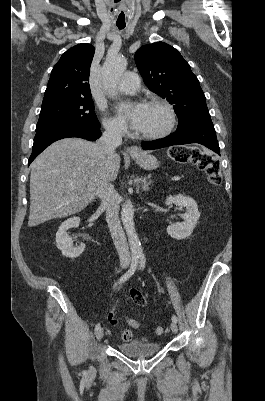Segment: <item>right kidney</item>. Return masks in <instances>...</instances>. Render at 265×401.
Here are the masks:
<instances>
[{"label":"right kidney","instance_id":"ca27d5eb","mask_svg":"<svg viewBox=\"0 0 265 401\" xmlns=\"http://www.w3.org/2000/svg\"><path fill=\"white\" fill-rule=\"evenodd\" d=\"M80 223V217H72V219H67L62 225H60L56 233V247L60 249L64 257H69V259H76L80 257L85 249L84 243H81L79 247H73V241L69 237L67 231L73 229V227H78Z\"/></svg>","mask_w":265,"mask_h":401}]
</instances>
